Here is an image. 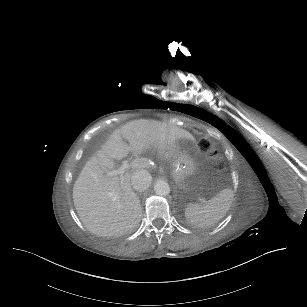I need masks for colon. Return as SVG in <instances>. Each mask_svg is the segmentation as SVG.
Masks as SVG:
<instances>
[{
	"instance_id": "1",
	"label": "colon",
	"mask_w": 307,
	"mask_h": 307,
	"mask_svg": "<svg viewBox=\"0 0 307 307\" xmlns=\"http://www.w3.org/2000/svg\"><path fill=\"white\" fill-rule=\"evenodd\" d=\"M198 148L201 150V151H208L210 148H211V141L208 139V138H201L199 141H198ZM215 152L214 151H211L209 153V155L212 157L214 156Z\"/></svg>"
}]
</instances>
